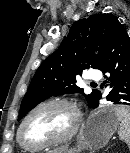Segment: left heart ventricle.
Returning a JSON list of instances; mask_svg holds the SVG:
<instances>
[{
    "label": "left heart ventricle",
    "mask_w": 130,
    "mask_h": 153,
    "mask_svg": "<svg viewBox=\"0 0 130 153\" xmlns=\"http://www.w3.org/2000/svg\"><path fill=\"white\" fill-rule=\"evenodd\" d=\"M74 122L72 111L62 105H51L39 109L26 122L23 139L28 143H40L63 137Z\"/></svg>",
    "instance_id": "left-heart-ventricle-1"
}]
</instances>
